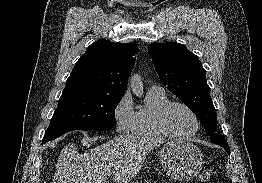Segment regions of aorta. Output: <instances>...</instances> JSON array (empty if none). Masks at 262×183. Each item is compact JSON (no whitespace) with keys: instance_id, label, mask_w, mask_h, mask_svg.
<instances>
[{"instance_id":"762f6f07","label":"aorta","mask_w":262,"mask_h":183,"mask_svg":"<svg viewBox=\"0 0 262 183\" xmlns=\"http://www.w3.org/2000/svg\"><path fill=\"white\" fill-rule=\"evenodd\" d=\"M130 87L135 95L139 96L143 92V85L140 77L136 74L132 75L129 79Z\"/></svg>"}]
</instances>
